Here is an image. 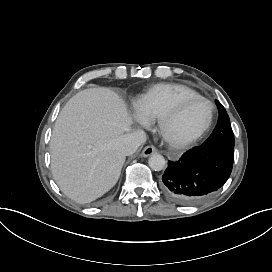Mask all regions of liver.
<instances>
[{"mask_svg": "<svg viewBox=\"0 0 272 272\" xmlns=\"http://www.w3.org/2000/svg\"><path fill=\"white\" fill-rule=\"evenodd\" d=\"M132 123L125 102L109 88L85 89L65 104L50 151L53 178L67 197L89 203L116 184L125 162L116 142Z\"/></svg>", "mask_w": 272, "mask_h": 272, "instance_id": "liver-1", "label": "liver"}]
</instances>
